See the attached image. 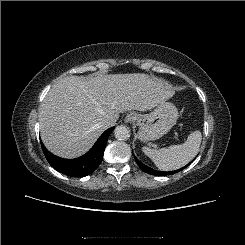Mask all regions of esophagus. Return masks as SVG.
<instances>
[{"label": "esophagus", "instance_id": "1", "mask_svg": "<svg viewBox=\"0 0 245 245\" xmlns=\"http://www.w3.org/2000/svg\"><path fill=\"white\" fill-rule=\"evenodd\" d=\"M136 120H137V115L135 113H129L125 117L126 123H132V122H135Z\"/></svg>", "mask_w": 245, "mask_h": 245}]
</instances>
